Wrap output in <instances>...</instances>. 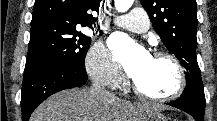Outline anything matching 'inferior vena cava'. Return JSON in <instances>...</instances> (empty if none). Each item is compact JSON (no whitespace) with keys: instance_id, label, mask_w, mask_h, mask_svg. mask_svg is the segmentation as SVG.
Wrapping results in <instances>:
<instances>
[{"instance_id":"602c4592","label":"inferior vena cava","mask_w":217,"mask_h":121,"mask_svg":"<svg viewBox=\"0 0 217 121\" xmlns=\"http://www.w3.org/2000/svg\"><path fill=\"white\" fill-rule=\"evenodd\" d=\"M90 92L97 97H104V98H114L115 97L114 94L105 90L103 85H100L96 82L93 83L92 87L90 88Z\"/></svg>"}]
</instances>
